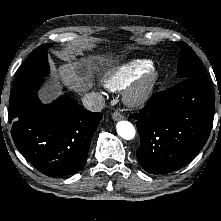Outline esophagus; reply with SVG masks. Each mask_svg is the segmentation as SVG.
Wrapping results in <instances>:
<instances>
[{
    "label": "esophagus",
    "mask_w": 221,
    "mask_h": 221,
    "mask_svg": "<svg viewBox=\"0 0 221 221\" xmlns=\"http://www.w3.org/2000/svg\"><path fill=\"white\" fill-rule=\"evenodd\" d=\"M112 118L113 120L115 121H118V120H121L124 118V115L118 111H115L113 114H112Z\"/></svg>",
    "instance_id": "obj_1"
}]
</instances>
